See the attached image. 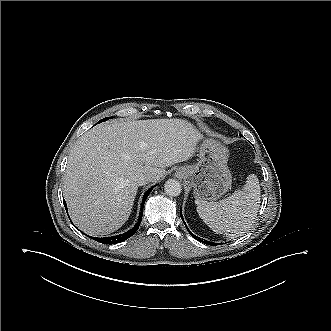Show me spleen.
<instances>
[{
  "label": "spleen",
  "instance_id": "3e777b00",
  "mask_svg": "<svg viewBox=\"0 0 331 331\" xmlns=\"http://www.w3.org/2000/svg\"><path fill=\"white\" fill-rule=\"evenodd\" d=\"M260 200L258 178L249 175L241 190L218 201H198L201 219L217 234L234 239L248 231L257 215Z\"/></svg>",
  "mask_w": 331,
  "mask_h": 331
}]
</instances>
